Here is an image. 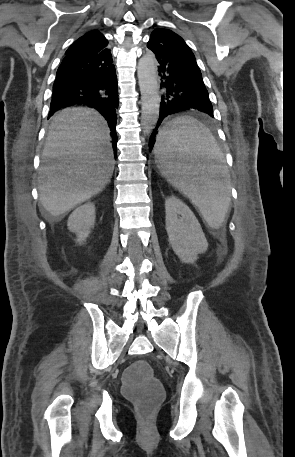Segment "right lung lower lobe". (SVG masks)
I'll use <instances>...</instances> for the list:
<instances>
[{
    "label": "right lung lower lobe",
    "instance_id": "obj_1",
    "mask_svg": "<svg viewBox=\"0 0 295 457\" xmlns=\"http://www.w3.org/2000/svg\"><path fill=\"white\" fill-rule=\"evenodd\" d=\"M87 104L107 120L116 151L118 86L110 50L64 58L56 74L49 117L62 107Z\"/></svg>",
    "mask_w": 295,
    "mask_h": 457
}]
</instances>
